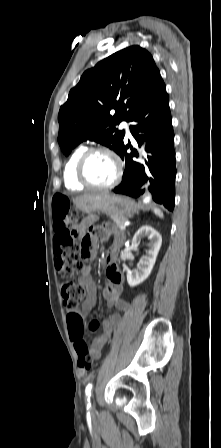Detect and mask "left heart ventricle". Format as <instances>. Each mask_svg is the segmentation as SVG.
I'll return each mask as SVG.
<instances>
[{"instance_id":"obj_1","label":"left heart ventricle","mask_w":221,"mask_h":448,"mask_svg":"<svg viewBox=\"0 0 221 448\" xmlns=\"http://www.w3.org/2000/svg\"><path fill=\"white\" fill-rule=\"evenodd\" d=\"M115 174V163L113 159L106 154H96L92 156L87 163L86 175L94 184H109L114 179Z\"/></svg>"}]
</instances>
